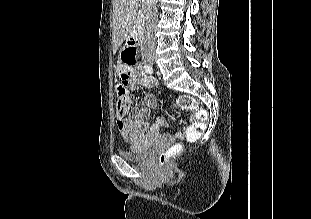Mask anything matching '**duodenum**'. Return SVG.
Segmentation results:
<instances>
[{"instance_id":"obj_1","label":"duodenum","mask_w":311,"mask_h":219,"mask_svg":"<svg viewBox=\"0 0 311 219\" xmlns=\"http://www.w3.org/2000/svg\"><path fill=\"white\" fill-rule=\"evenodd\" d=\"M141 30L136 29L131 32L127 39L128 51L133 55H140Z\"/></svg>"}]
</instances>
